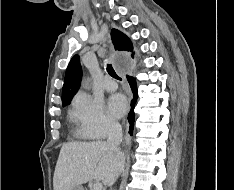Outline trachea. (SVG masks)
I'll list each match as a JSON object with an SVG mask.
<instances>
[{"instance_id":"3493384b","label":"trachea","mask_w":234,"mask_h":190,"mask_svg":"<svg viewBox=\"0 0 234 190\" xmlns=\"http://www.w3.org/2000/svg\"><path fill=\"white\" fill-rule=\"evenodd\" d=\"M107 72L110 76H112L115 79L120 80L121 78L116 74L115 70L113 69L112 65H107Z\"/></svg>"}]
</instances>
